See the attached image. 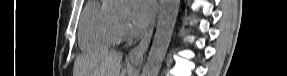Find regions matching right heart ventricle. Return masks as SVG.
Wrapping results in <instances>:
<instances>
[{
  "instance_id": "right-heart-ventricle-1",
  "label": "right heart ventricle",
  "mask_w": 287,
  "mask_h": 76,
  "mask_svg": "<svg viewBox=\"0 0 287 76\" xmlns=\"http://www.w3.org/2000/svg\"><path fill=\"white\" fill-rule=\"evenodd\" d=\"M119 19L99 1L86 4L81 18L79 43L83 50H105L116 45L121 37Z\"/></svg>"
}]
</instances>
